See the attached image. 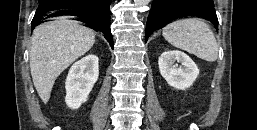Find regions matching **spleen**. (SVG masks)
<instances>
[{"mask_svg": "<svg viewBox=\"0 0 257 130\" xmlns=\"http://www.w3.org/2000/svg\"><path fill=\"white\" fill-rule=\"evenodd\" d=\"M162 34L171 45L194 54L207 62L218 57V44L210 27L201 19L177 20L163 28Z\"/></svg>", "mask_w": 257, "mask_h": 130, "instance_id": "obj_1", "label": "spleen"}]
</instances>
